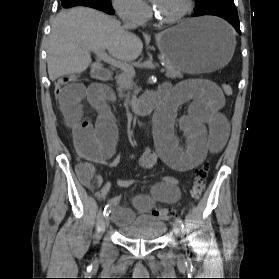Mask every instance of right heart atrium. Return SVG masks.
Masks as SVG:
<instances>
[{
  "label": "right heart atrium",
  "instance_id": "right-heart-atrium-1",
  "mask_svg": "<svg viewBox=\"0 0 279 279\" xmlns=\"http://www.w3.org/2000/svg\"><path fill=\"white\" fill-rule=\"evenodd\" d=\"M111 3L118 16L131 23L141 24L150 14L142 0H111Z\"/></svg>",
  "mask_w": 279,
  "mask_h": 279
}]
</instances>
